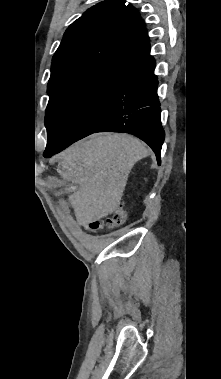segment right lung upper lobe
Returning <instances> with one entry per match:
<instances>
[{
	"label": "right lung upper lobe",
	"mask_w": 221,
	"mask_h": 379,
	"mask_svg": "<svg viewBox=\"0 0 221 379\" xmlns=\"http://www.w3.org/2000/svg\"><path fill=\"white\" fill-rule=\"evenodd\" d=\"M138 11L125 0H106L66 30L52 60L48 94L100 77L122 78L153 61Z\"/></svg>",
	"instance_id": "right-lung-upper-lobe-1"
}]
</instances>
